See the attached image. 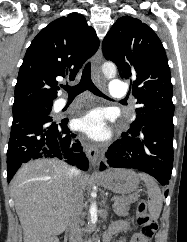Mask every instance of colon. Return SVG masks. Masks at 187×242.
<instances>
[{
  "instance_id": "1",
  "label": "colon",
  "mask_w": 187,
  "mask_h": 242,
  "mask_svg": "<svg viewBox=\"0 0 187 242\" xmlns=\"http://www.w3.org/2000/svg\"><path fill=\"white\" fill-rule=\"evenodd\" d=\"M136 220L141 227L138 242H150L158 228V224L148 213L147 205L144 200H140L137 204Z\"/></svg>"
}]
</instances>
